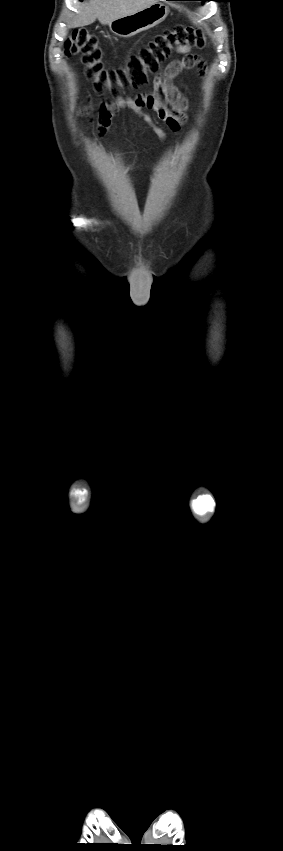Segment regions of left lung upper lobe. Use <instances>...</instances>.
I'll use <instances>...</instances> for the list:
<instances>
[{
    "instance_id": "left-lung-upper-lobe-1",
    "label": "left lung upper lobe",
    "mask_w": 283,
    "mask_h": 851,
    "mask_svg": "<svg viewBox=\"0 0 283 851\" xmlns=\"http://www.w3.org/2000/svg\"><path fill=\"white\" fill-rule=\"evenodd\" d=\"M197 1H208V0H197Z\"/></svg>"
}]
</instances>
